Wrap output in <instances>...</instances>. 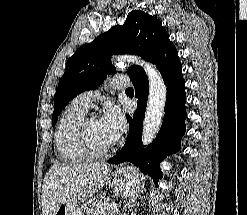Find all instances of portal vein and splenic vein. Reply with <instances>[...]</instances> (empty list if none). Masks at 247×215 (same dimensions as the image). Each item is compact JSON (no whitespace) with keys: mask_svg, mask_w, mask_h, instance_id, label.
I'll return each mask as SVG.
<instances>
[{"mask_svg":"<svg viewBox=\"0 0 247 215\" xmlns=\"http://www.w3.org/2000/svg\"><path fill=\"white\" fill-rule=\"evenodd\" d=\"M109 205V204H108ZM109 206H111L116 212L118 211V209H117V207L115 206V205H109Z\"/></svg>","mask_w":247,"mask_h":215,"instance_id":"portal-vein-and-splenic-vein-1","label":"portal vein and splenic vein"}]
</instances>
